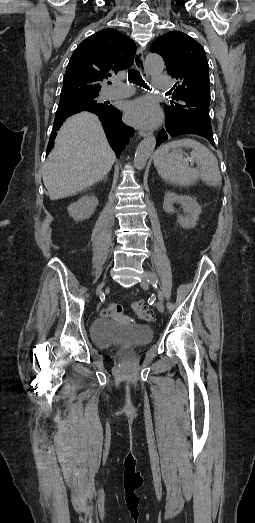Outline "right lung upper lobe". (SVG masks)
I'll return each instance as SVG.
<instances>
[{"instance_id":"cb5924a9","label":"right lung upper lobe","mask_w":255,"mask_h":523,"mask_svg":"<svg viewBox=\"0 0 255 523\" xmlns=\"http://www.w3.org/2000/svg\"><path fill=\"white\" fill-rule=\"evenodd\" d=\"M136 46L132 39L114 29H103L85 39L75 49L68 63L62 94H99L105 79L133 63ZM88 111L99 116L110 146L118 157L134 134L133 128L121 120L118 109L108 103L90 100L88 109L75 108L73 100L60 99L47 154L54 147L57 130L69 116Z\"/></svg>"}]
</instances>
